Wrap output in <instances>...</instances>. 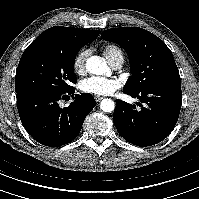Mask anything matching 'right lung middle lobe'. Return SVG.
<instances>
[{"label":"right lung middle lobe","mask_w":199,"mask_h":199,"mask_svg":"<svg viewBox=\"0 0 199 199\" xmlns=\"http://www.w3.org/2000/svg\"><path fill=\"white\" fill-rule=\"evenodd\" d=\"M84 45L61 47L47 41L34 40L24 51L15 78L16 92L46 90L65 92L76 83V53Z\"/></svg>","instance_id":"dd1d6c3e"}]
</instances>
